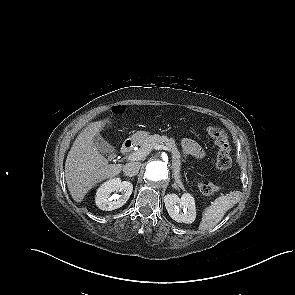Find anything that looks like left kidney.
Here are the masks:
<instances>
[{
  "instance_id": "5707ae66",
  "label": "left kidney",
  "mask_w": 295,
  "mask_h": 295,
  "mask_svg": "<svg viewBox=\"0 0 295 295\" xmlns=\"http://www.w3.org/2000/svg\"><path fill=\"white\" fill-rule=\"evenodd\" d=\"M164 203L169 216L180 223L191 224L196 218L194 197L184 193L181 198L176 194H167Z\"/></svg>"
}]
</instances>
